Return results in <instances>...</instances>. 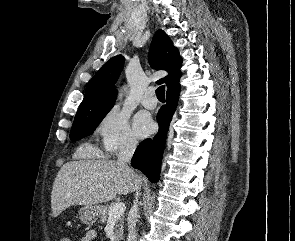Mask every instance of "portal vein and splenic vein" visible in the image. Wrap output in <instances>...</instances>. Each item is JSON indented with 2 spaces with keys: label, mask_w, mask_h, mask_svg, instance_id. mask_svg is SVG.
<instances>
[{
  "label": "portal vein and splenic vein",
  "mask_w": 295,
  "mask_h": 241,
  "mask_svg": "<svg viewBox=\"0 0 295 241\" xmlns=\"http://www.w3.org/2000/svg\"><path fill=\"white\" fill-rule=\"evenodd\" d=\"M125 209L126 207L124 203H116L110 208L108 221H115L124 213Z\"/></svg>",
  "instance_id": "obj_1"
}]
</instances>
